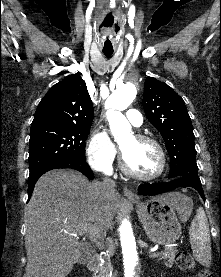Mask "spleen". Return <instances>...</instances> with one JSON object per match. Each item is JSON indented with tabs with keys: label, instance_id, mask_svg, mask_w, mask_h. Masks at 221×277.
Listing matches in <instances>:
<instances>
[{
	"label": "spleen",
	"instance_id": "3e777b00",
	"mask_svg": "<svg viewBox=\"0 0 221 277\" xmlns=\"http://www.w3.org/2000/svg\"><path fill=\"white\" fill-rule=\"evenodd\" d=\"M189 236L193 255L202 265L209 266L211 263L209 226L205 212L201 208L191 222Z\"/></svg>",
	"mask_w": 221,
	"mask_h": 277
}]
</instances>
